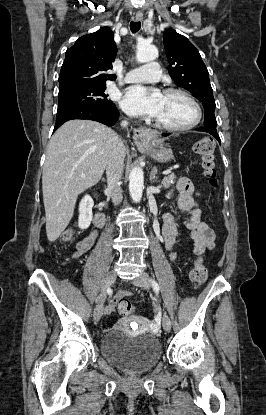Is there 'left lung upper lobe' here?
<instances>
[{
	"mask_svg": "<svg viewBox=\"0 0 266 415\" xmlns=\"http://www.w3.org/2000/svg\"><path fill=\"white\" fill-rule=\"evenodd\" d=\"M163 43L169 61L168 72L176 85L190 91L202 102L205 110V126L199 131L219 137L214 115L215 100L209 80V73L201 59L199 51L183 35L173 29L163 34Z\"/></svg>",
	"mask_w": 266,
	"mask_h": 415,
	"instance_id": "left-lung-upper-lobe-1",
	"label": "left lung upper lobe"
}]
</instances>
